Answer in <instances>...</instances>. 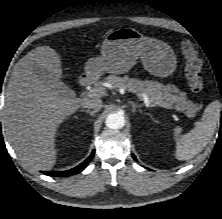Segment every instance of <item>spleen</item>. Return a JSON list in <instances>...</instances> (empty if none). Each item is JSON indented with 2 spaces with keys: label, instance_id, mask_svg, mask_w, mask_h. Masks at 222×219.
<instances>
[{
  "label": "spleen",
  "instance_id": "spleen-1",
  "mask_svg": "<svg viewBox=\"0 0 222 219\" xmlns=\"http://www.w3.org/2000/svg\"><path fill=\"white\" fill-rule=\"evenodd\" d=\"M222 104L215 100L211 102L202 115L201 121L188 133L181 135L180 127L174 128L176 136V153L178 160H189L199 154L213 137L220 119Z\"/></svg>",
  "mask_w": 222,
  "mask_h": 219
}]
</instances>
